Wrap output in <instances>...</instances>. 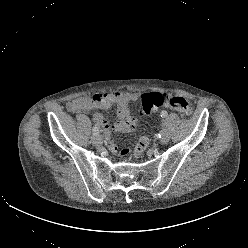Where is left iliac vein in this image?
Returning <instances> with one entry per match:
<instances>
[{
    "label": "left iliac vein",
    "mask_w": 248,
    "mask_h": 248,
    "mask_svg": "<svg viewBox=\"0 0 248 248\" xmlns=\"http://www.w3.org/2000/svg\"><path fill=\"white\" fill-rule=\"evenodd\" d=\"M168 141H169V135H168L167 131L164 130V133L160 138V142L162 144H166Z\"/></svg>",
    "instance_id": "obj_1"
}]
</instances>
